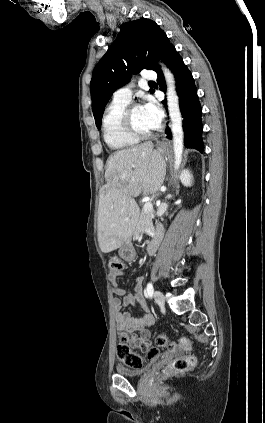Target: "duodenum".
<instances>
[{
	"label": "duodenum",
	"instance_id": "duodenum-1",
	"mask_svg": "<svg viewBox=\"0 0 265 423\" xmlns=\"http://www.w3.org/2000/svg\"><path fill=\"white\" fill-rule=\"evenodd\" d=\"M162 235H163V229L161 227L156 228L153 234V237L149 240L146 246V253L148 255H153L156 252L160 244Z\"/></svg>",
	"mask_w": 265,
	"mask_h": 423
}]
</instances>
